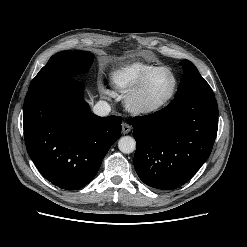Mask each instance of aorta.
<instances>
[{"label":"aorta","mask_w":247,"mask_h":247,"mask_svg":"<svg viewBox=\"0 0 247 247\" xmlns=\"http://www.w3.org/2000/svg\"><path fill=\"white\" fill-rule=\"evenodd\" d=\"M118 148L122 153L130 154L136 148L135 139L131 136H124L118 141Z\"/></svg>","instance_id":"aorta-1"}]
</instances>
